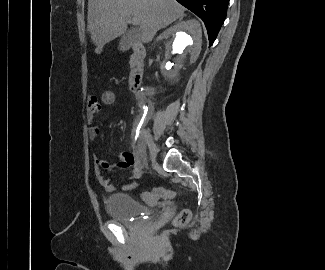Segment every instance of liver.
Here are the masks:
<instances>
[{
	"mask_svg": "<svg viewBox=\"0 0 325 270\" xmlns=\"http://www.w3.org/2000/svg\"><path fill=\"white\" fill-rule=\"evenodd\" d=\"M184 11L175 0H88L87 30L97 49H101L126 32L127 18L132 16L139 20L141 40L148 43Z\"/></svg>",
	"mask_w": 325,
	"mask_h": 270,
	"instance_id": "1",
	"label": "liver"
}]
</instances>
